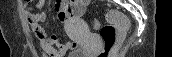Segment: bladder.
Wrapping results in <instances>:
<instances>
[{
	"instance_id": "31cf9c89",
	"label": "bladder",
	"mask_w": 172,
	"mask_h": 57,
	"mask_svg": "<svg viewBox=\"0 0 172 57\" xmlns=\"http://www.w3.org/2000/svg\"><path fill=\"white\" fill-rule=\"evenodd\" d=\"M69 57H85V56L82 54H73V55H70Z\"/></svg>"
}]
</instances>
